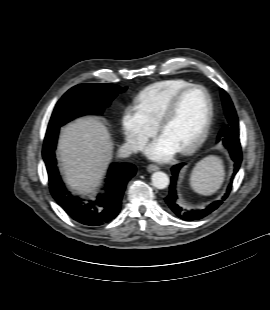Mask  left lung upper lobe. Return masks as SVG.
<instances>
[{
	"label": "left lung upper lobe",
	"mask_w": 270,
	"mask_h": 310,
	"mask_svg": "<svg viewBox=\"0 0 270 310\" xmlns=\"http://www.w3.org/2000/svg\"><path fill=\"white\" fill-rule=\"evenodd\" d=\"M220 93L223 101L224 113L227 119V125L222 128L218 138L222 137L224 146L229 149L233 146L240 145L239 124L236 111L229 95L223 89H221Z\"/></svg>",
	"instance_id": "1"
}]
</instances>
